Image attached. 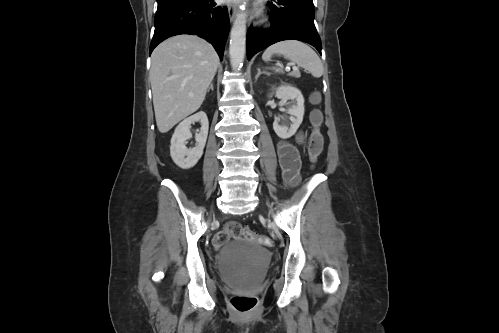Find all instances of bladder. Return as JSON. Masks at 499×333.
Wrapping results in <instances>:
<instances>
[{"mask_svg": "<svg viewBox=\"0 0 499 333\" xmlns=\"http://www.w3.org/2000/svg\"><path fill=\"white\" fill-rule=\"evenodd\" d=\"M270 251L246 240H233L223 245L218 265L224 279L240 290H251L264 276Z\"/></svg>", "mask_w": 499, "mask_h": 333, "instance_id": "1", "label": "bladder"}]
</instances>
